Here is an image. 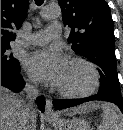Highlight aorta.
<instances>
[{
	"instance_id": "obj_1",
	"label": "aorta",
	"mask_w": 123,
	"mask_h": 130,
	"mask_svg": "<svg viewBox=\"0 0 123 130\" xmlns=\"http://www.w3.org/2000/svg\"><path fill=\"white\" fill-rule=\"evenodd\" d=\"M40 15L43 19L49 20V19H55L61 16V9L58 4L52 3L48 6H45L41 12Z\"/></svg>"
}]
</instances>
